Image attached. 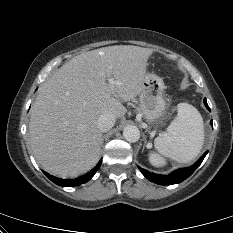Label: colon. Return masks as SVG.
Wrapping results in <instances>:
<instances>
[{
    "label": "colon",
    "mask_w": 233,
    "mask_h": 233,
    "mask_svg": "<svg viewBox=\"0 0 233 233\" xmlns=\"http://www.w3.org/2000/svg\"><path fill=\"white\" fill-rule=\"evenodd\" d=\"M150 160L152 164L156 167H162L165 165V160L158 154L156 153H151L150 154Z\"/></svg>",
    "instance_id": "5ec220e1"
}]
</instances>
